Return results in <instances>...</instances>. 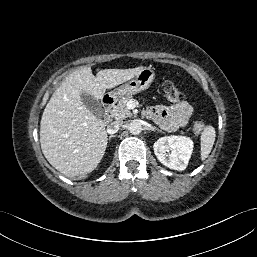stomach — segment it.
<instances>
[{"instance_id":"0dacf381","label":"stomach","mask_w":257,"mask_h":257,"mask_svg":"<svg viewBox=\"0 0 257 257\" xmlns=\"http://www.w3.org/2000/svg\"><path fill=\"white\" fill-rule=\"evenodd\" d=\"M155 78V71L152 67H145L141 72L136 75L134 79L119 86L115 90L110 92V95L114 98H120L124 96H131L137 94L151 85Z\"/></svg>"}]
</instances>
